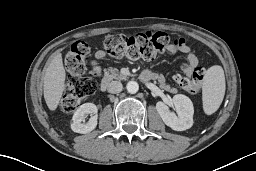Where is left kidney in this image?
I'll return each instance as SVG.
<instances>
[{
	"label": "left kidney",
	"instance_id": "obj_1",
	"mask_svg": "<svg viewBox=\"0 0 256 171\" xmlns=\"http://www.w3.org/2000/svg\"><path fill=\"white\" fill-rule=\"evenodd\" d=\"M172 102L177 115L169 110L162 101L157 102L156 110L163 122L175 131H184L192 127L194 107L192 101L183 94L173 96Z\"/></svg>",
	"mask_w": 256,
	"mask_h": 171
}]
</instances>
